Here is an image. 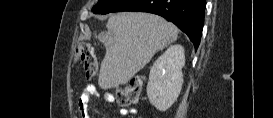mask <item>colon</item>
I'll list each match as a JSON object with an SVG mask.
<instances>
[{"label":"colon","mask_w":273,"mask_h":118,"mask_svg":"<svg viewBox=\"0 0 273 118\" xmlns=\"http://www.w3.org/2000/svg\"><path fill=\"white\" fill-rule=\"evenodd\" d=\"M76 55L83 61L86 77L95 78L98 72V61L91 44L89 42L79 43ZM142 83V79H136L128 85L120 86L116 91L118 104L124 107L135 104L139 100Z\"/></svg>","instance_id":"5ec220e1"}]
</instances>
